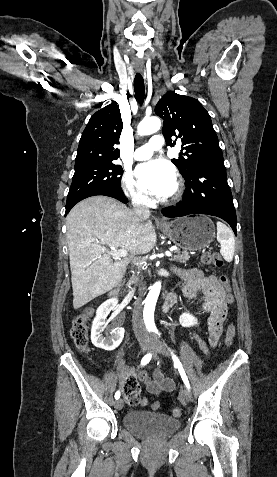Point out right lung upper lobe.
<instances>
[{
  "label": "right lung upper lobe",
  "instance_id": "1",
  "mask_svg": "<svg viewBox=\"0 0 277 477\" xmlns=\"http://www.w3.org/2000/svg\"><path fill=\"white\" fill-rule=\"evenodd\" d=\"M122 129L123 122L116 103L94 113L82 133L75 167L116 160L120 152L114 145L119 143Z\"/></svg>",
  "mask_w": 277,
  "mask_h": 477
}]
</instances>
